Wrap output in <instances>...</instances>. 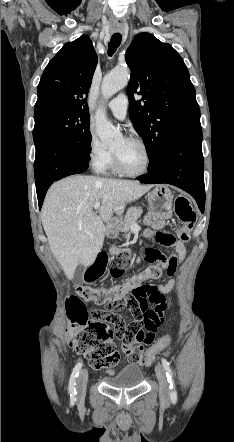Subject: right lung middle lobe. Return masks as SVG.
Returning <instances> with one entry per match:
<instances>
[{
    "label": "right lung middle lobe",
    "instance_id": "1",
    "mask_svg": "<svg viewBox=\"0 0 234 442\" xmlns=\"http://www.w3.org/2000/svg\"><path fill=\"white\" fill-rule=\"evenodd\" d=\"M89 119L88 110H61L34 116V143L41 140L63 141L89 155Z\"/></svg>",
    "mask_w": 234,
    "mask_h": 442
}]
</instances>
